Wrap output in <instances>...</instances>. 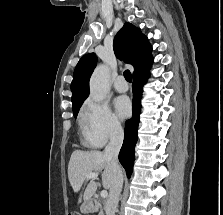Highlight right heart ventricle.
Here are the masks:
<instances>
[{"instance_id": "right-heart-ventricle-1", "label": "right heart ventricle", "mask_w": 223, "mask_h": 215, "mask_svg": "<svg viewBox=\"0 0 223 215\" xmlns=\"http://www.w3.org/2000/svg\"><path fill=\"white\" fill-rule=\"evenodd\" d=\"M81 133H82V137L84 139V141L88 144L93 145L95 142L89 137V135L87 134V132L82 128L81 126Z\"/></svg>"}]
</instances>
